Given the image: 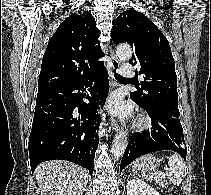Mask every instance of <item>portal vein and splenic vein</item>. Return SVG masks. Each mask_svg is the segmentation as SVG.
<instances>
[{
    "label": "portal vein and splenic vein",
    "mask_w": 211,
    "mask_h": 195,
    "mask_svg": "<svg viewBox=\"0 0 211 195\" xmlns=\"http://www.w3.org/2000/svg\"><path fill=\"white\" fill-rule=\"evenodd\" d=\"M166 170H167V169H166ZM155 180H156V181H159L160 179H159V178H156Z\"/></svg>",
    "instance_id": "obj_1"
}]
</instances>
